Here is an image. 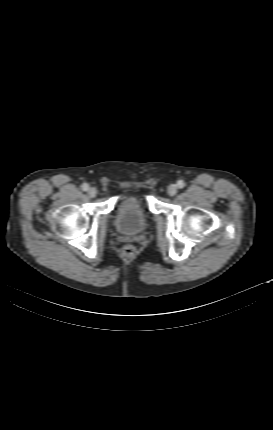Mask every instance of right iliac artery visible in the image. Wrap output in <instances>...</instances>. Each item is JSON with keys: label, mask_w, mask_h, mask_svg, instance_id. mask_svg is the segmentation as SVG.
Returning <instances> with one entry per match:
<instances>
[{"label": "right iliac artery", "mask_w": 273, "mask_h": 430, "mask_svg": "<svg viewBox=\"0 0 273 430\" xmlns=\"http://www.w3.org/2000/svg\"><path fill=\"white\" fill-rule=\"evenodd\" d=\"M83 191H87L89 189V185L87 183L82 184L81 186Z\"/></svg>", "instance_id": "82829eb1"}]
</instances>
